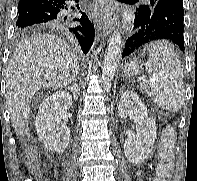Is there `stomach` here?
Wrapping results in <instances>:
<instances>
[{
	"label": "stomach",
	"mask_w": 197,
	"mask_h": 181,
	"mask_svg": "<svg viewBox=\"0 0 197 181\" xmlns=\"http://www.w3.org/2000/svg\"><path fill=\"white\" fill-rule=\"evenodd\" d=\"M123 74L127 78L139 76L143 72V65L137 59L130 60L122 67Z\"/></svg>",
	"instance_id": "1"
}]
</instances>
